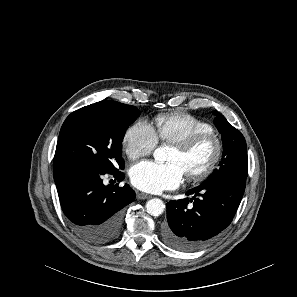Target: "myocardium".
I'll return each instance as SVG.
<instances>
[{
  "label": "myocardium",
  "mask_w": 297,
  "mask_h": 297,
  "mask_svg": "<svg viewBox=\"0 0 297 297\" xmlns=\"http://www.w3.org/2000/svg\"><path fill=\"white\" fill-rule=\"evenodd\" d=\"M213 140L216 151L211 162L199 173L187 174L186 179L190 183H199L208 179L218 168L224 155V144L220 135L214 131H206L193 134L185 139L179 140L172 144L173 147L187 153L206 140Z\"/></svg>",
  "instance_id": "myocardium-1"
}]
</instances>
